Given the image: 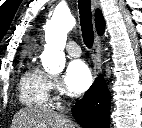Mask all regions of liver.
Listing matches in <instances>:
<instances>
[{"label":"liver","mask_w":142,"mask_h":128,"mask_svg":"<svg viewBox=\"0 0 142 128\" xmlns=\"http://www.w3.org/2000/svg\"><path fill=\"white\" fill-rule=\"evenodd\" d=\"M12 128H74V125L49 108L26 107L15 114Z\"/></svg>","instance_id":"obj_1"}]
</instances>
